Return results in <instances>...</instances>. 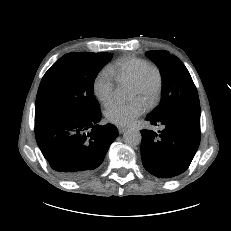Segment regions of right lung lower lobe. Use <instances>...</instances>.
<instances>
[{
  "instance_id": "98d812e1",
  "label": "right lung lower lobe",
  "mask_w": 231,
  "mask_h": 231,
  "mask_svg": "<svg viewBox=\"0 0 231 231\" xmlns=\"http://www.w3.org/2000/svg\"><path fill=\"white\" fill-rule=\"evenodd\" d=\"M101 111L91 116L38 109L35 112L37 144L51 168L67 180H82L101 165L118 130L100 126Z\"/></svg>"
}]
</instances>
